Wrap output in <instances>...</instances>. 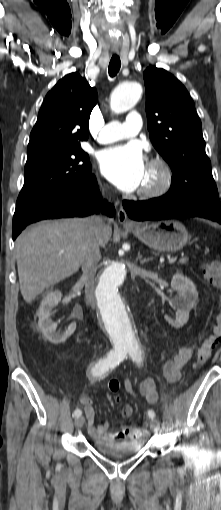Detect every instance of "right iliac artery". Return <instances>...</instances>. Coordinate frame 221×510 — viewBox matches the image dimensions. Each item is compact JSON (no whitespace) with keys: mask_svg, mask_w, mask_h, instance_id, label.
I'll return each instance as SVG.
<instances>
[{"mask_svg":"<svg viewBox=\"0 0 221 510\" xmlns=\"http://www.w3.org/2000/svg\"><path fill=\"white\" fill-rule=\"evenodd\" d=\"M126 353L120 350H110L106 357L99 359L91 369V375L93 377H101L105 375L109 370L114 369L121 361H123ZM82 411L76 409L73 412V417L78 418L81 416Z\"/></svg>","mask_w":221,"mask_h":510,"instance_id":"obj_1","label":"right iliac artery"}]
</instances>
